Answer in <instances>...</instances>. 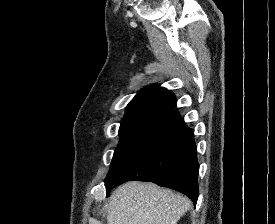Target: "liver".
Returning a JSON list of instances; mask_svg holds the SVG:
<instances>
[{"label": "liver", "instance_id": "obj_1", "mask_svg": "<svg viewBox=\"0 0 275 224\" xmlns=\"http://www.w3.org/2000/svg\"><path fill=\"white\" fill-rule=\"evenodd\" d=\"M190 202L153 183L130 181L110 197L107 224H177Z\"/></svg>", "mask_w": 275, "mask_h": 224}]
</instances>
